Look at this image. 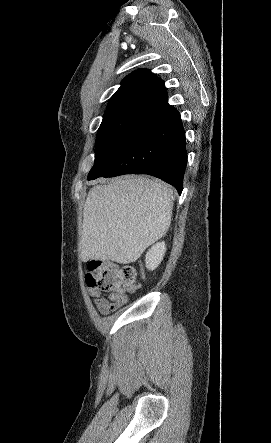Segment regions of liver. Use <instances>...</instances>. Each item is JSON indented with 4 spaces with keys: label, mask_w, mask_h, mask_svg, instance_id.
<instances>
[{
    "label": "liver",
    "mask_w": 271,
    "mask_h": 443,
    "mask_svg": "<svg viewBox=\"0 0 271 443\" xmlns=\"http://www.w3.org/2000/svg\"><path fill=\"white\" fill-rule=\"evenodd\" d=\"M173 200L171 188L147 176H121L93 186L83 210V261H136L170 227Z\"/></svg>",
    "instance_id": "obj_1"
}]
</instances>
